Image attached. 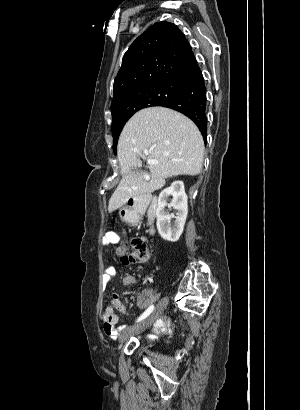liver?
<instances>
[{
	"label": "liver",
	"mask_w": 300,
	"mask_h": 410,
	"mask_svg": "<svg viewBox=\"0 0 300 410\" xmlns=\"http://www.w3.org/2000/svg\"><path fill=\"white\" fill-rule=\"evenodd\" d=\"M117 156L123 175L109 200V213L130 198L151 193L165 185V179L200 173L204 141L197 126L183 114L164 107L137 112L124 126L119 137ZM144 160L155 159L150 173L132 172Z\"/></svg>",
	"instance_id": "6515ba94"
}]
</instances>
